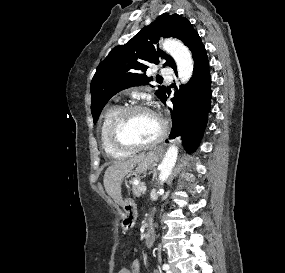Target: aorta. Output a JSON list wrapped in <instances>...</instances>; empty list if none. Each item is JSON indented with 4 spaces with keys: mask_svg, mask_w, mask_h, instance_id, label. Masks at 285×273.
Listing matches in <instances>:
<instances>
[{
    "mask_svg": "<svg viewBox=\"0 0 285 273\" xmlns=\"http://www.w3.org/2000/svg\"><path fill=\"white\" fill-rule=\"evenodd\" d=\"M162 47L175 60L178 76L182 83H187L193 73V60L189 49L181 42L175 39L165 40ZM178 156V148L176 145H171L160 165L159 181L162 185L172 172ZM162 191V189H160Z\"/></svg>",
    "mask_w": 285,
    "mask_h": 273,
    "instance_id": "aorta-1",
    "label": "aorta"
}]
</instances>
